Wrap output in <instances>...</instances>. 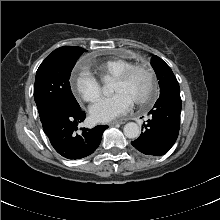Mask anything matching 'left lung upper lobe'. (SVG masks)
Instances as JSON below:
<instances>
[{
	"instance_id": "obj_1",
	"label": "left lung upper lobe",
	"mask_w": 220,
	"mask_h": 220,
	"mask_svg": "<svg viewBox=\"0 0 220 220\" xmlns=\"http://www.w3.org/2000/svg\"><path fill=\"white\" fill-rule=\"evenodd\" d=\"M151 65L159 80L160 96L180 93V87L175 75L171 68L161 58L154 55L151 60Z\"/></svg>"
}]
</instances>
